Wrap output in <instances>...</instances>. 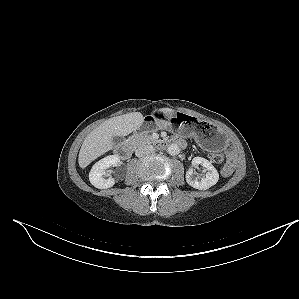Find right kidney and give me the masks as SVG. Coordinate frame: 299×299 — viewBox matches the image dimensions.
I'll return each instance as SVG.
<instances>
[{"instance_id": "1", "label": "right kidney", "mask_w": 299, "mask_h": 299, "mask_svg": "<svg viewBox=\"0 0 299 299\" xmlns=\"http://www.w3.org/2000/svg\"><path fill=\"white\" fill-rule=\"evenodd\" d=\"M119 162L120 158L117 155H109L95 163L89 173L91 184L98 189L112 187L115 184V180L112 177L106 178V176H109L106 169L110 166H117Z\"/></svg>"}]
</instances>
